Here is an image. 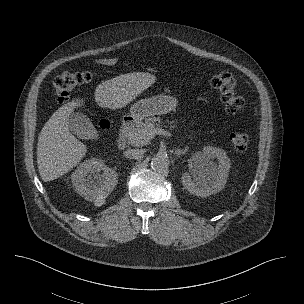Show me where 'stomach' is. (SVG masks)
<instances>
[{
	"mask_svg": "<svg viewBox=\"0 0 304 304\" xmlns=\"http://www.w3.org/2000/svg\"><path fill=\"white\" fill-rule=\"evenodd\" d=\"M177 99L169 95H157L147 99H141L130 108V117L134 122H139L146 117L167 114L177 106Z\"/></svg>",
	"mask_w": 304,
	"mask_h": 304,
	"instance_id": "stomach-1",
	"label": "stomach"
}]
</instances>
